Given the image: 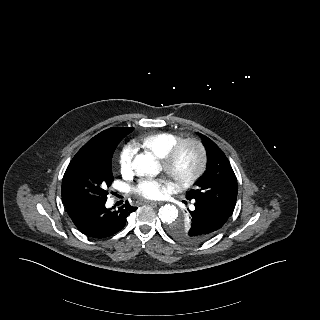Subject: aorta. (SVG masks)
Listing matches in <instances>:
<instances>
[{
  "label": "aorta",
  "instance_id": "obj_1",
  "mask_svg": "<svg viewBox=\"0 0 320 320\" xmlns=\"http://www.w3.org/2000/svg\"><path fill=\"white\" fill-rule=\"evenodd\" d=\"M134 171L141 176L152 175L159 173V165L155 159L150 155L138 154L133 160ZM158 216L163 223L171 224L178 217V210L176 206L166 204L159 209Z\"/></svg>",
  "mask_w": 320,
  "mask_h": 320
}]
</instances>
